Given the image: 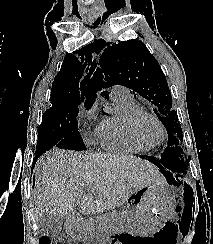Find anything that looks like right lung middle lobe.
Instances as JSON below:
<instances>
[{"label":"right lung middle lobe","mask_w":213,"mask_h":244,"mask_svg":"<svg viewBox=\"0 0 213 244\" xmlns=\"http://www.w3.org/2000/svg\"><path fill=\"white\" fill-rule=\"evenodd\" d=\"M89 109V106H86ZM79 105H53L42 116L38 129L36 154L44 153L57 146L64 149L86 150L78 132L76 117Z\"/></svg>","instance_id":"obj_1"}]
</instances>
